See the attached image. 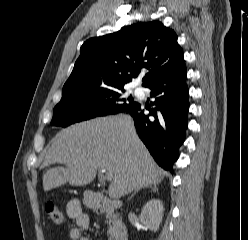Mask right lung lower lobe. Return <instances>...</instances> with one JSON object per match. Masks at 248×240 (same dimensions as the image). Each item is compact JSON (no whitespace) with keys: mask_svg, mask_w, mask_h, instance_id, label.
Instances as JSON below:
<instances>
[{"mask_svg":"<svg viewBox=\"0 0 248 240\" xmlns=\"http://www.w3.org/2000/svg\"><path fill=\"white\" fill-rule=\"evenodd\" d=\"M186 68L170 78L150 85L151 103L154 108L149 114L136 103L120 113L130 114L140 139L163 169L173 171L179 158V147L185 141L188 125L189 90L185 82Z\"/></svg>","mask_w":248,"mask_h":240,"instance_id":"right-lung-lower-lobe-1","label":"right lung lower lobe"}]
</instances>
